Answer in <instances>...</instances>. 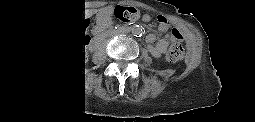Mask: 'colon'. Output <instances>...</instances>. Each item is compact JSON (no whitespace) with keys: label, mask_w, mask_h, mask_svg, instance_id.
Returning <instances> with one entry per match:
<instances>
[{"label":"colon","mask_w":255,"mask_h":122,"mask_svg":"<svg viewBox=\"0 0 255 122\" xmlns=\"http://www.w3.org/2000/svg\"><path fill=\"white\" fill-rule=\"evenodd\" d=\"M115 16L123 22L130 23L138 18V12L134 8H118L115 10ZM173 35L179 38L178 31L172 30ZM76 39V38H75ZM184 46L178 39L174 41L167 53V59L171 62H178L183 58Z\"/></svg>","instance_id":"1"}]
</instances>
